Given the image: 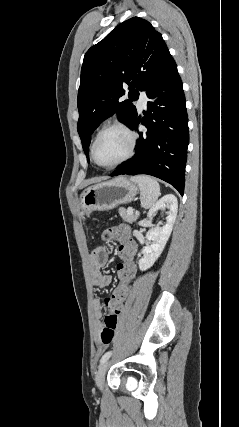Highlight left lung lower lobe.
I'll return each mask as SVG.
<instances>
[{"instance_id": "0a47b994", "label": "left lung lower lobe", "mask_w": 239, "mask_h": 427, "mask_svg": "<svg viewBox=\"0 0 239 427\" xmlns=\"http://www.w3.org/2000/svg\"><path fill=\"white\" fill-rule=\"evenodd\" d=\"M147 112L137 116L129 126L139 132L136 153L122 163L110 176L147 174L173 185L184 192L185 164L189 142L186 101L175 61L146 89Z\"/></svg>"}]
</instances>
